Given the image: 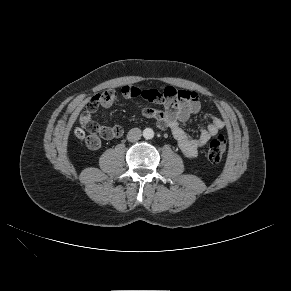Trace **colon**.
<instances>
[{
  "instance_id": "obj_1",
  "label": "colon",
  "mask_w": 291,
  "mask_h": 291,
  "mask_svg": "<svg viewBox=\"0 0 291 291\" xmlns=\"http://www.w3.org/2000/svg\"><path fill=\"white\" fill-rule=\"evenodd\" d=\"M150 99H154V94H150ZM101 97L96 95L87 103V111L81 116V127L75 129V135L79 138L86 136V143L95 145L99 135L110 139L121 135V130L117 127H106L98 124L92 117V114L98 109ZM87 133V134H86ZM226 138L218 135L213 139L207 148V158L212 163L219 162L226 151Z\"/></svg>"
}]
</instances>
